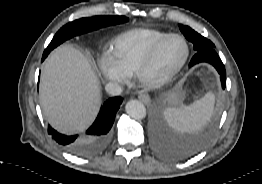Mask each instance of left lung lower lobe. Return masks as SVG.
<instances>
[{
    "label": "left lung lower lobe",
    "mask_w": 262,
    "mask_h": 184,
    "mask_svg": "<svg viewBox=\"0 0 262 184\" xmlns=\"http://www.w3.org/2000/svg\"><path fill=\"white\" fill-rule=\"evenodd\" d=\"M200 62H208L216 68L220 74L222 88L224 89L226 86V71L215 49L197 51L189 66L192 67ZM148 132L152 149L162 158L171 161L190 159L201 152L210 141V135L206 133L191 137L177 135L169 127L159 110L151 113Z\"/></svg>",
    "instance_id": "left-lung-lower-lobe-1"
}]
</instances>
